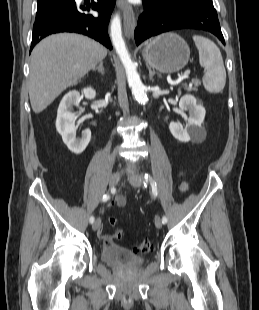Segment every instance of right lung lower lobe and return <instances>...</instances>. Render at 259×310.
<instances>
[{"mask_svg":"<svg viewBox=\"0 0 259 310\" xmlns=\"http://www.w3.org/2000/svg\"><path fill=\"white\" fill-rule=\"evenodd\" d=\"M116 0H98V3L76 6V3L67 7L50 8L37 12L33 25L31 50L47 35L58 32H76L87 35L112 49L107 34V26ZM96 10L99 15L88 12ZM30 50V51H31Z\"/></svg>","mask_w":259,"mask_h":310,"instance_id":"1","label":"right lung lower lobe"}]
</instances>
